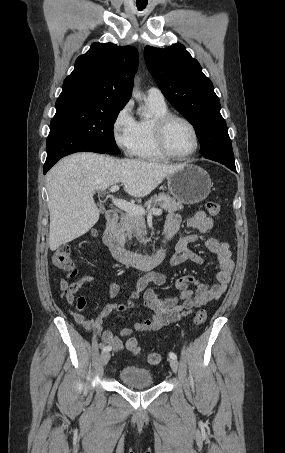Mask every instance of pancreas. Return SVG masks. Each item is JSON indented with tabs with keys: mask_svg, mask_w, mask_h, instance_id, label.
Here are the masks:
<instances>
[{
	"mask_svg": "<svg viewBox=\"0 0 285 453\" xmlns=\"http://www.w3.org/2000/svg\"><path fill=\"white\" fill-rule=\"evenodd\" d=\"M157 205L170 213L183 210L181 203L176 202L175 199L165 193L154 195L145 203L147 208L152 207V209ZM145 228V219L143 216L126 213L122 217L121 223L115 225L114 230L119 241L125 243L126 238L131 239L132 235L142 237L145 234Z\"/></svg>",
	"mask_w": 285,
	"mask_h": 453,
	"instance_id": "1",
	"label": "pancreas"
}]
</instances>
